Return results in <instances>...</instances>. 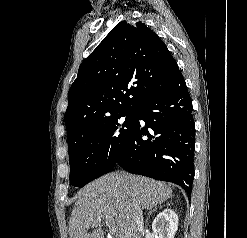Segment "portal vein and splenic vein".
<instances>
[{
	"instance_id": "portal-vein-and-splenic-vein-1",
	"label": "portal vein and splenic vein",
	"mask_w": 247,
	"mask_h": 238,
	"mask_svg": "<svg viewBox=\"0 0 247 238\" xmlns=\"http://www.w3.org/2000/svg\"><path fill=\"white\" fill-rule=\"evenodd\" d=\"M106 221V224L108 225L109 227V231L111 234H116L118 232V228L117 226L115 225L114 221L112 219H107L105 220Z\"/></svg>"
}]
</instances>
